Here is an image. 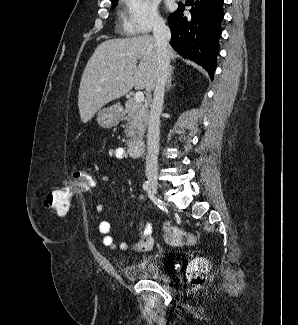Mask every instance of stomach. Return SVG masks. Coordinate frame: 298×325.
<instances>
[{"label":"stomach","mask_w":298,"mask_h":325,"mask_svg":"<svg viewBox=\"0 0 298 325\" xmlns=\"http://www.w3.org/2000/svg\"><path fill=\"white\" fill-rule=\"evenodd\" d=\"M121 116V110L119 106H108V108H101L97 112V122L103 128H111L116 122H118Z\"/></svg>","instance_id":"obj_1"}]
</instances>
